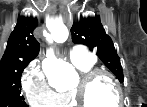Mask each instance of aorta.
Segmentation results:
<instances>
[{
  "label": "aorta",
  "instance_id": "aorta-1",
  "mask_svg": "<svg viewBox=\"0 0 147 107\" xmlns=\"http://www.w3.org/2000/svg\"><path fill=\"white\" fill-rule=\"evenodd\" d=\"M67 39L68 31L65 30L62 35ZM42 69L46 74L49 84L54 88H66L71 85L77 77L74 67L63 60H58L53 50L47 51L46 58L42 62Z\"/></svg>",
  "mask_w": 147,
  "mask_h": 107
}]
</instances>
